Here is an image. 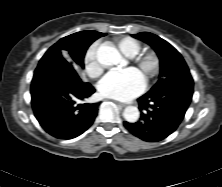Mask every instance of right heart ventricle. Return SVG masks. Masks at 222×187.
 Listing matches in <instances>:
<instances>
[{
  "mask_svg": "<svg viewBox=\"0 0 222 187\" xmlns=\"http://www.w3.org/2000/svg\"><path fill=\"white\" fill-rule=\"evenodd\" d=\"M116 44L120 51L128 57L135 56L142 49V44L132 37L119 38L116 40Z\"/></svg>",
  "mask_w": 222,
  "mask_h": 187,
  "instance_id": "1",
  "label": "right heart ventricle"
}]
</instances>
